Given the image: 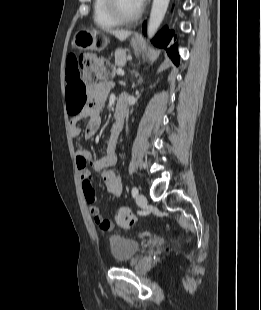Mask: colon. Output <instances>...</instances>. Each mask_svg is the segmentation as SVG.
<instances>
[{"label": "colon", "instance_id": "1", "mask_svg": "<svg viewBox=\"0 0 261 310\" xmlns=\"http://www.w3.org/2000/svg\"><path fill=\"white\" fill-rule=\"evenodd\" d=\"M77 62L83 69L84 81L89 84L97 83L101 78L108 76L111 71L109 64L104 59L95 55H82ZM116 221L118 225L123 228H132L136 224L137 218L129 209L121 208L116 214ZM100 228L102 230H107L109 224L104 222L101 224Z\"/></svg>", "mask_w": 261, "mask_h": 310}]
</instances>
